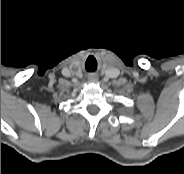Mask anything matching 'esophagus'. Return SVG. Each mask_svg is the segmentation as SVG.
Returning <instances> with one entry per match:
<instances>
[{"label":"esophagus","instance_id":"obj_1","mask_svg":"<svg viewBox=\"0 0 184 174\" xmlns=\"http://www.w3.org/2000/svg\"><path fill=\"white\" fill-rule=\"evenodd\" d=\"M89 80L94 81V80H96V77L95 76H89Z\"/></svg>","mask_w":184,"mask_h":174}]
</instances>
